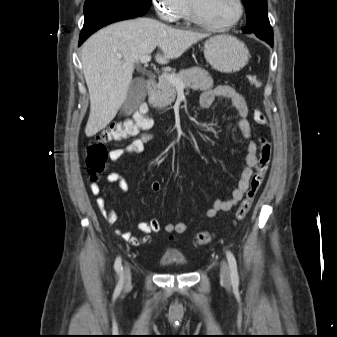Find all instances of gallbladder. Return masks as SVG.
<instances>
[{"instance_id":"gallbladder-1","label":"gallbladder","mask_w":337,"mask_h":337,"mask_svg":"<svg viewBox=\"0 0 337 337\" xmlns=\"http://www.w3.org/2000/svg\"><path fill=\"white\" fill-rule=\"evenodd\" d=\"M146 95V82L143 78L134 79L127 93V99L125 100L122 111L126 114L132 113L142 103Z\"/></svg>"}]
</instances>
